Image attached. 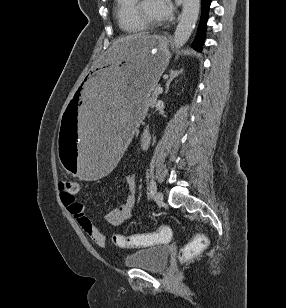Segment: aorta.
Here are the masks:
<instances>
[{"instance_id": "obj_1", "label": "aorta", "mask_w": 286, "mask_h": 308, "mask_svg": "<svg viewBox=\"0 0 286 308\" xmlns=\"http://www.w3.org/2000/svg\"><path fill=\"white\" fill-rule=\"evenodd\" d=\"M200 12V0H183L181 19L174 32L176 48L182 47L190 38Z\"/></svg>"}]
</instances>
